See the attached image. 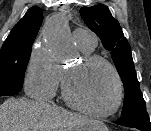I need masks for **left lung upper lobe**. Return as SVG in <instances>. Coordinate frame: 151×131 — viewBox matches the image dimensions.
<instances>
[{
	"label": "left lung upper lobe",
	"mask_w": 151,
	"mask_h": 131,
	"mask_svg": "<svg viewBox=\"0 0 151 131\" xmlns=\"http://www.w3.org/2000/svg\"><path fill=\"white\" fill-rule=\"evenodd\" d=\"M80 15L86 25L100 37L103 46L111 52L125 88L122 115L146 110V103L133 64L131 48L119 22L113 18L108 7L103 4L88 8L82 7Z\"/></svg>",
	"instance_id": "1"
}]
</instances>
